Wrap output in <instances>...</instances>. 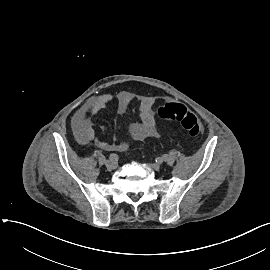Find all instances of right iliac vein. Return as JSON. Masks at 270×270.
<instances>
[{"label":"right iliac vein","instance_id":"obj_1","mask_svg":"<svg viewBox=\"0 0 270 270\" xmlns=\"http://www.w3.org/2000/svg\"><path fill=\"white\" fill-rule=\"evenodd\" d=\"M105 165H106L107 170H109V171H112V170H114L116 168V163L112 162L110 160H107L105 162Z\"/></svg>","mask_w":270,"mask_h":270}]
</instances>
